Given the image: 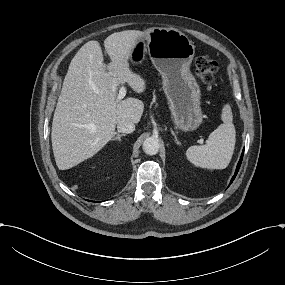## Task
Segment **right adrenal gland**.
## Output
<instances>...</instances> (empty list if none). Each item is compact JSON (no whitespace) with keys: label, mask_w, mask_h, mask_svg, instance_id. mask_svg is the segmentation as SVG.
I'll list each match as a JSON object with an SVG mask.
<instances>
[{"label":"right adrenal gland","mask_w":285,"mask_h":285,"mask_svg":"<svg viewBox=\"0 0 285 285\" xmlns=\"http://www.w3.org/2000/svg\"><path fill=\"white\" fill-rule=\"evenodd\" d=\"M126 136V134H117L116 137L112 138L111 141H121V137Z\"/></svg>","instance_id":"2a0ac1e0"}]
</instances>
